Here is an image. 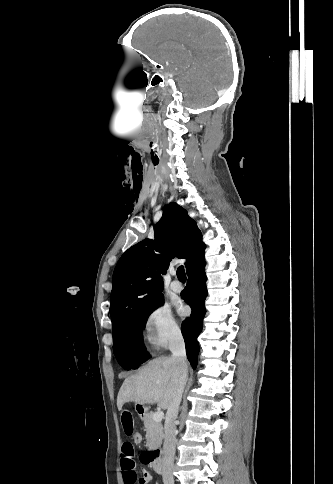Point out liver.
<instances>
[{
	"label": "liver",
	"mask_w": 333,
	"mask_h": 484,
	"mask_svg": "<svg viewBox=\"0 0 333 484\" xmlns=\"http://www.w3.org/2000/svg\"><path fill=\"white\" fill-rule=\"evenodd\" d=\"M182 371L176 360L158 357L150 360L137 373L124 380L117 396V407L121 411L127 402L139 405L155 404L169 409L180 385Z\"/></svg>",
	"instance_id": "1"
}]
</instances>
